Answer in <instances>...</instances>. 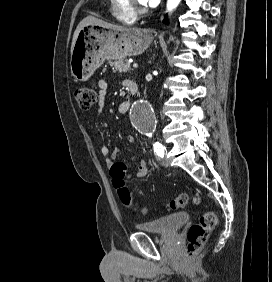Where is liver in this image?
Listing matches in <instances>:
<instances>
[{
	"instance_id": "6515ba94",
	"label": "liver",
	"mask_w": 272,
	"mask_h": 282,
	"mask_svg": "<svg viewBox=\"0 0 272 282\" xmlns=\"http://www.w3.org/2000/svg\"><path fill=\"white\" fill-rule=\"evenodd\" d=\"M87 25H99V26H102V27L107 28V29H113V30H119V31L127 29L123 26L111 24V23L105 22L103 20H100L98 18H95L93 16H87L86 18H84L78 24V26H77V28L74 32L73 39H72V45H71V54H72V50H73V47H74V43H75V41L78 37L80 30Z\"/></svg>"
}]
</instances>
